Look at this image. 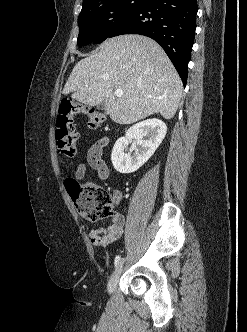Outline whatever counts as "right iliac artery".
<instances>
[{
    "label": "right iliac artery",
    "instance_id": "1",
    "mask_svg": "<svg viewBox=\"0 0 247 332\" xmlns=\"http://www.w3.org/2000/svg\"><path fill=\"white\" fill-rule=\"evenodd\" d=\"M119 261H120V256L118 255V256H116V258H115V266L118 265Z\"/></svg>",
    "mask_w": 247,
    "mask_h": 332
}]
</instances>
